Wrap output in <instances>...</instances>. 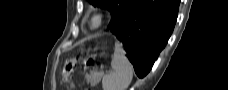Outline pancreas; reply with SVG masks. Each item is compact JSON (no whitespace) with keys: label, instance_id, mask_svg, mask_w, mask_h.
Wrapping results in <instances>:
<instances>
[{"label":"pancreas","instance_id":"obj_1","mask_svg":"<svg viewBox=\"0 0 228 90\" xmlns=\"http://www.w3.org/2000/svg\"><path fill=\"white\" fill-rule=\"evenodd\" d=\"M91 85H95L98 82V79H96L95 77H92L89 81H88Z\"/></svg>","mask_w":228,"mask_h":90}]
</instances>
